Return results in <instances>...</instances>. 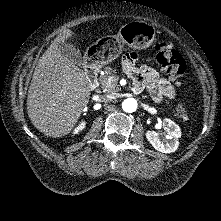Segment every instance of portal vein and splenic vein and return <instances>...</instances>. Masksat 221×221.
<instances>
[{
  "label": "portal vein and splenic vein",
  "mask_w": 221,
  "mask_h": 221,
  "mask_svg": "<svg viewBox=\"0 0 221 221\" xmlns=\"http://www.w3.org/2000/svg\"><path fill=\"white\" fill-rule=\"evenodd\" d=\"M113 80H114L113 77H110V78H109V82H112Z\"/></svg>",
  "instance_id": "portal-vein-and-splenic-vein-1"
}]
</instances>
